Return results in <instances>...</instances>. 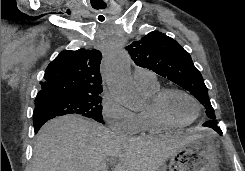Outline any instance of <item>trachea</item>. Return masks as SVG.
I'll return each instance as SVG.
<instances>
[{
	"mask_svg": "<svg viewBox=\"0 0 245 171\" xmlns=\"http://www.w3.org/2000/svg\"><path fill=\"white\" fill-rule=\"evenodd\" d=\"M106 7V3L104 2H99L94 6L95 9H104ZM99 21H104V18L99 17Z\"/></svg>",
	"mask_w": 245,
	"mask_h": 171,
	"instance_id": "3493384b",
	"label": "trachea"
}]
</instances>
